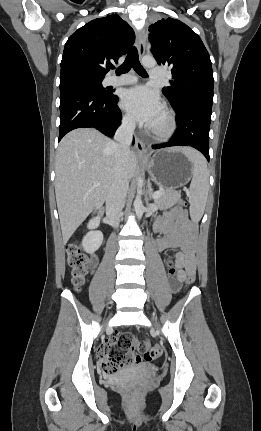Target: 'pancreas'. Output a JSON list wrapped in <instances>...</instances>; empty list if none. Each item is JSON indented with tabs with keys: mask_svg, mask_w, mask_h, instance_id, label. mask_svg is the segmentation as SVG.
<instances>
[{
	"mask_svg": "<svg viewBox=\"0 0 261 431\" xmlns=\"http://www.w3.org/2000/svg\"><path fill=\"white\" fill-rule=\"evenodd\" d=\"M181 198L180 192L176 190L163 191L161 196L154 200V204L161 210L174 206Z\"/></svg>",
	"mask_w": 261,
	"mask_h": 431,
	"instance_id": "pancreas-1",
	"label": "pancreas"
}]
</instances>
